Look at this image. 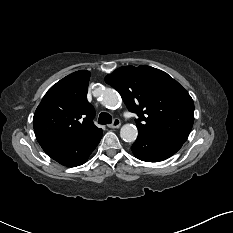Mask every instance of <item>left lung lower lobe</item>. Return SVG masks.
<instances>
[{
    "mask_svg": "<svg viewBox=\"0 0 233 233\" xmlns=\"http://www.w3.org/2000/svg\"><path fill=\"white\" fill-rule=\"evenodd\" d=\"M181 146L180 142L138 133L131 149L133 154L142 161L159 162L171 157Z\"/></svg>",
    "mask_w": 233,
    "mask_h": 233,
    "instance_id": "obj_1",
    "label": "left lung lower lobe"
}]
</instances>
